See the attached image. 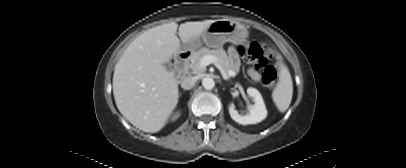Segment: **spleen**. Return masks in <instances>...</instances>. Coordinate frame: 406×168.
Returning a JSON list of instances; mask_svg holds the SVG:
<instances>
[{"label":"spleen","mask_w":406,"mask_h":168,"mask_svg":"<svg viewBox=\"0 0 406 168\" xmlns=\"http://www.w3.org/2000/svg\"><path fill=\"white\" fill-rule=\"evenodd\" d=\"M280 61L279 79L276 87L272 92V99L280 112H285L292 100L293 96V83L288 68L282 63V57L276 56Z\"/></svg>","instance_id":"spleen-1"}]
</instances>
